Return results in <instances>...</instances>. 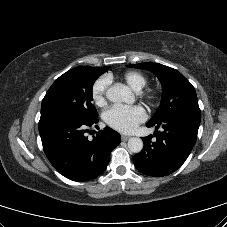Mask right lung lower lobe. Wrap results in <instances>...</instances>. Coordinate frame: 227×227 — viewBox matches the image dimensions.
Returning <instances> with one entry per match:
<instances>
[{"label": "right lung lower lobe", "instance_id": "right-lung-lower-lobe-1", "mask_svg": "<svg viewBox=\"0 0 227 227\" xmlns=\"http://www.w3.org/2000/svg\"><path fill=\"white\" fill-rule=\"evenodd\" d=\"M98 119L81 120L57 113L40 118L39 133L43 150L63 176L74 181H89L107 167L111 151L121 142L119 133L109 127L96 132L92 140L86 133Z\"/></svg>", "mask_w": 227, "mask_h": 227}]
</instances>
